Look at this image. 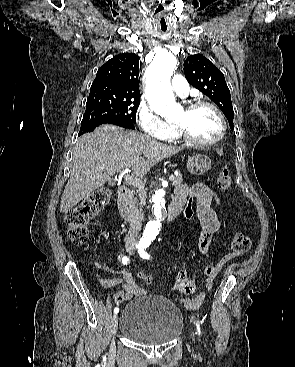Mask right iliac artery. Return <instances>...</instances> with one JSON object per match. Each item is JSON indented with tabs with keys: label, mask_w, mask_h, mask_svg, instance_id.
I'll return each mask as SVG.
<instances>
[{
	"label": "right iliac artery",
	"mask_w": 295,
	"mask_h": 367,
	"mask_svg": "<svg viewBox=\"0 0 295 367\" xmlns=\"http://www.w3.org/2000/svg\"><path fill=\"white\" fill-rule=\"evenodd\" d=\"M136 248H139V245H138V246H136ZM128 262H129V258H128L127 256H124V257L122 258V263H123L124 265H127V264H128ZM118 311H119V308H118V307L114 308V313H115V314H117V313H118Z\"/></svg>",
	"instance_id": "right-iliac-artery-1"
}]
</instances>
